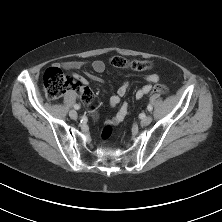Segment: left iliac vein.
<instances>
[{
    "label": "left iliac vein",
    "instance_id": "left-iliac-vein-1",
    "mask_svg": "<svg viewBox=\"0 0 222 222\" xmlns=\"http://www.w3.org/2000/svg\"><path fill=\"white\" fill-rule=\"evenodd\" d=\"M151 121H152V116L151 115H147L144 118H142L141 125L142 126H147V125H149L151 123Z\"/></svg>",
    "mask_w": 222,
    "mask_h": 222
}]
</instances>
